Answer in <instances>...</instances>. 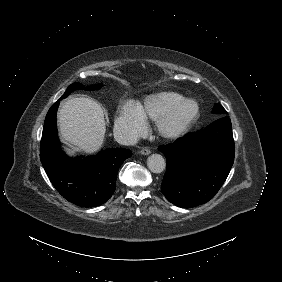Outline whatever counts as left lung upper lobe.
<instances>
[{
	"instance_id": "obj_1",
	"label": "left lung upper lobe",
	"mask_w": 282,
	"mask_h": 282,
	"mask_svg": "<svg viewBox=\"0 0 282 282\" xmlns=\"http://www.w3.org/2000/svg\"><path fill=\"white\" fill-rule=\"evenodd\" d=\"M213 113L223 115L227 114L226 110L221 106V104L215 105Z\"/></svg>"
}]
</instances>
